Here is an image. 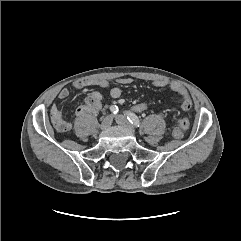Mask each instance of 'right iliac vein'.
Returning a JSON list of instances; mask_svg holds the SVG:
<instances>
[{"label":"right iliac vein","instance_id":"1","mask_svg":"<svg viewBox=\"0 0 241 241\" xmlns=\"http://www.w3.org/2000/svg\"><path fill=\"white\" fill-rule=\"evenodd\" d=\"M112 120H113V117L111 115L104 117L101 122V128L106 129V128L110 127Z\"/></svg>","mask_w":241,"mask_h":241}]
</instances>
